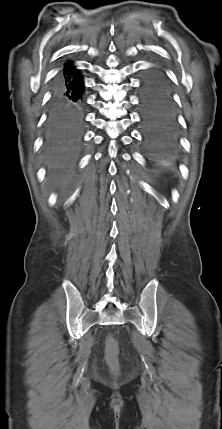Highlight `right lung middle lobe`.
<instances>
[{
    "mask_svg": "<svg viewBox=\"0 0 222 429\" xmlns=\"http://www.w3.org/2000/svg\"><path fill=\"white\" fill-rule=\"evenodd\" d=\"M47 129H48V142L50 144H59L64 139L67 138L66 134H63L59 130H57L56 128L49 126L48 122H47Z\"/></svg>",
    "mask_w": 222,
    "mask_h": 429,
    "instance_id": "obj_1",
    "label": "right lung middle lobe"
}]
</instances>
